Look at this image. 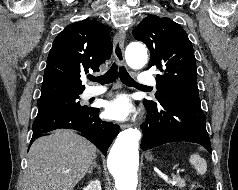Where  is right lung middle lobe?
I'll return each mask as SVG.
<instances>
[{
	"label": "right lung middle lobe",
	"mask_w": 238,
	"mask_h": 190,
	"mask_svg": "<svg viewBox=\"0 0 238 190\" xmlns=\"http://www.w3.org/2000/svg\"><path fill=\"white\" fill-rule=\"evenodd\" d=\"M78 99L79 94L52 99L38 100L37 117L56 112L80 110L87 108L86 106H81Z\"/></svg>",
	"instance_id": "obj_1"
}]
</instances>
